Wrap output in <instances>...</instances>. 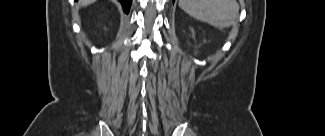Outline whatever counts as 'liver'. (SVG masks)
Returning <instances> with one entry per match:
<instances>
[{"label": "liver", "instance_id": "6515ba94", "mask_svg": "<svg viewBox=\"0 0 325 136\" xmlns=\"http://www.w3.org/2000/svg\"><path fill=\"white\" fill-rule=\"evenodd\" d=\"M93 2H95V0H79L78 4L82 5V6H86V5H89V4L93 3Z\"/></svg>", "mask_w": 325, "mask_h": 136}]
</instances>
